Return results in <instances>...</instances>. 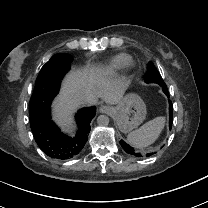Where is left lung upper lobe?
Masks as SVG:
<instances>
[{
	"mask_svg": "<svg viewBox=\"0 0 208 208\" xmlns=\"http://www.w3.org/2000/svg\"><path fill=\"white\" fill-rule=\"evenodd\" d=\"M146 83H156L162 86L163 92L167 91L166 84L164 83L160 73L157 71L153 63H150L147 75L145 76Z\"/></svg>",
	"mask_w": 208,
	"mask_h": 208,
	"instance_id": "obj_1",
	"label": "left lung upper lobe"
}]
</instances>
